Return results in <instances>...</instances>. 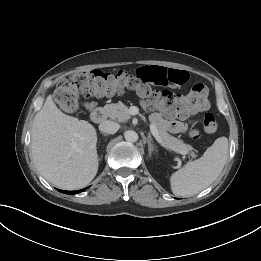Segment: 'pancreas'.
<instances>
[{
  "mask_svg": "<svg viewBox=\"0 0 261 261\" xmlns=\"http://www.w3.org/2000/svg\"><path fill=\"white\" fill-rule=\"evenodd\" d=\"M104 109L106 111L107 116L112 120H116L118 122H126L128 119H130L129 108L121 102L115 104H107L104 106ZM151 121L157 127L159 136L169 149L179 154H186L193 149L190 145L185 144L182 140L177 139L174 136H171L154 119Z\"/></svg>",
  "mask_w": 261,
  "mask_h": 261,
  "instance_id": "obj_1",
  "label": "pancreas"
}]
</instances>
